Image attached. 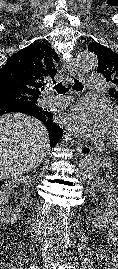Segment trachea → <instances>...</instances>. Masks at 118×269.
Returning <instances> with one entry per match:
<instances>
[{
  "label": "trachea",
  "instance_id": "trachea-1",
  "mask_svg": "<svg viewBox=\"0 0 118 269\" xmlns=\"http://www.w3.org/2000/svg\"><path fill=\"white\" fill-rule=\"evenodd\" d=\"M72 88L77 91H81L83 90V85L77 79H74V84L72 85ZM54 89L57 91L58 94H63L70 89V86L66 87L62 82H60L59 84L54 86Z\"/></svg>",
  "mask_w": 118,
  "mask_h": 269
}]
</instances>
